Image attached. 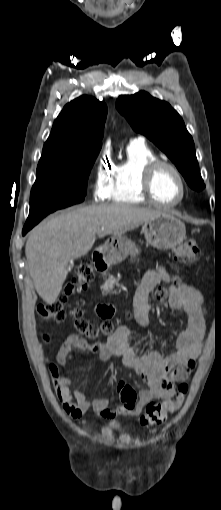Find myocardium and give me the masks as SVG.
Segmentation results:
<instances>
[{
    "instance_id": "f54148a6",
    "label": "myocardium",
    "mask_w": 221,
    "mask_h": 510,
    "mask_svg": "<svg viewBox=\"0 0 221 510\" xmlns=\"http://www.w3.org/2000/svg\"><path fill=\"white\" fill-rule=\"evenodd\" d=\"M161 168H168L170 169L178 178L180 185H181V196L180 198L172 203H165L159 201L153 192L152 183L153 179L155 177V174L161 169ZM140 187L143 196L148 200L150 203L157 207L162 208H171L180 205L186 198L187 195V184L186 181L181 173V171L171 162L163 160V159H153L148 161L144 164V166L141 169V176H140Z\"/></svg>"
}]
</instances>
